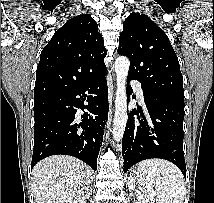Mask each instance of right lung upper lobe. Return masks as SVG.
Returning <instances> with one entry per match:
<instances>
[{"mask_svg":"<svg viewBox=\"0 0 214 203\" xmlns=\"http://www.w3.org/2000/svg\"><path fill=\"white\" fill-rule=\"evenodd\" d=\"M107 51L96 21L88 14L67 21L42 50L34 100L80 85L105 72Z\"/></svg>","mask_w":214,"mask_h":203,"instance_id":"cb5924a9","label":"right lung upper lobe"}]
</instances>
